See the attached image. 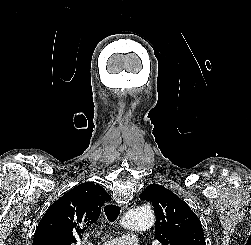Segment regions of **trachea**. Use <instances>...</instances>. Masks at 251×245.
Segmentation results:
<instances>
[{"label":"trachea","mask_w":251,"mask_h":245,"mask_svg":"<svg viewBox=\"0 0 251 245\" xmlns=\"http://www.w3.org/2000/svg\"><path fill=\"white\" fill-rule=\"evenodd\" d=\"M121 208L115 204H108L105 206L104 211L107 219L110 222H114L120 214Z\"/></svg>","instance_id":"1"}]
</instances>
